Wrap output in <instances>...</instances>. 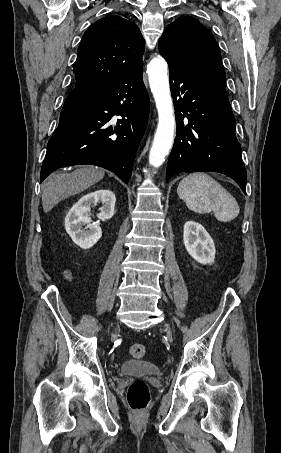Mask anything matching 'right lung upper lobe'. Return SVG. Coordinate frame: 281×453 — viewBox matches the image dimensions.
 <instances>
[{
  "label": "right lung upper lobe",
  "mask_w": 281,
  "mask_h": 453,
  "mask_svg": "<svg viewBox=\"0 0 281 453\" xmlns=\"http://www.w3.org/2000/svg\"><path fill=\"white\" fill-rule=\"evenodd\" d=\"M145 41L132 21L105 16L84 33L73 65L75 86L114 83L142 63Z\"/></svg>",
  "instance_id": "cb5924a9"
}]
</instances>
